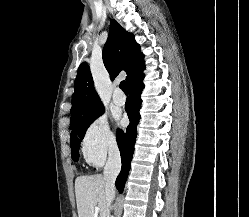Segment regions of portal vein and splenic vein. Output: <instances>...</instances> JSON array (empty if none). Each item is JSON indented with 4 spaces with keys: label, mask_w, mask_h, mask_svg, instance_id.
<instances>
[{
    "label": "portal vein and splenic vein",
    "mask_w": 249,
    "mask_h": 217,
    "mask_svg": "<svg viewBox=\"0 0 249 217\" xmlns=\"http://www.w3.org/2000/svg\"><path fill=\"white\" fill-rule=\"evenodd\" d=\"M99 207H95V214H94V217H97V214L99 213Z\"/></svg>",
    "instance_id": "18ae733b"
}]
</instances>
